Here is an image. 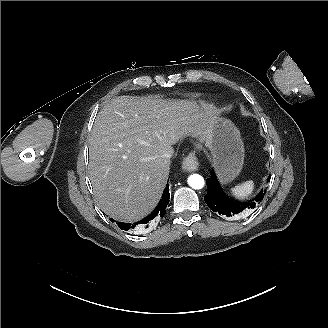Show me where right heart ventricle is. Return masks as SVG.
<instances>
[{
    "instance_id": "obj_1",
    "label": "right heart ventricle",
    "mask_w": 328,
    "mask_h": 328,
    "mask_svg": "<svg viewBox=\"0 0 328 328\" xmlns=\"http://www.w3.org/2000/svg\"><path fill=\"white\" fill-rule=\"evenodd\" d=\"M205 112L210 109L211 105L207 102L198 101L196 102Z\"/></svg>"
}]
</instances>
